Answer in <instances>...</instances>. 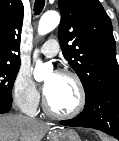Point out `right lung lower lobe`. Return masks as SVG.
Listing matches in <instances>:
<instances>
[{
    "label": "right lung lower lobe",
    "mask_w": 119,
    "mask_h": 141,
    "mask_svg": "<svg viewBox=\"0 0 119 141\" xmlns=\"http://www.w3.org/2000/svg\"><path fill=\"white\" fill-rule=\"evenodd\" d=\"M11 109V103L0 101V114L6 113Z\"/></svg>",
    "instance_id": "1"
}]
</instances>
